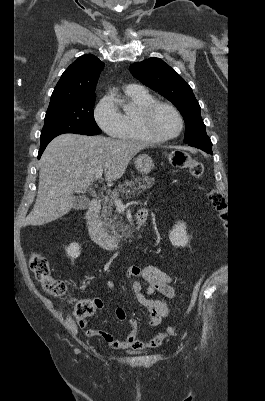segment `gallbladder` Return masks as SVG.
Returning <instances> with one entry per match:
<instances>
[{
	"mask_svg": "<svg viewBox=\"0 0 265 401\" xmlns=\"http://www.w3.org/2000/svg\"><path fill=\"white\" fill-rule=\"evenodd\" d=\"M90 203V198H87V196H74L73 209H76V211H84Z\"/></svg>",
	"mask_w": 265,
	"mask_h": 401,
	"instance_id": "1",
	"label": "gallbladder"
}]
</instances>
